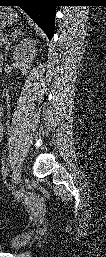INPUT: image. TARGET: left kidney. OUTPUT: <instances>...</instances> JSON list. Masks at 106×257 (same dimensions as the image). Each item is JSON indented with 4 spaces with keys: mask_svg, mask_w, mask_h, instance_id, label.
Here are the masks:
<instances>
[{
    "mask_svg": "<svg viewBox=\"0 0 106 257\" xmlns=\"http://www.w3.org/2000/svg\"><path fill=\"white\" fill-rule=\"evenodd\" d=\"M36 41L32 39H24L14 50L13 59L16 65L22 70L26 71L30 68L32 61L36 54Z\"/></svg>",
    "mask_w": 106,
    "mask_h": 257,
    "instance_id": "1",
    "label": "left kidney"
}]
</instances>
